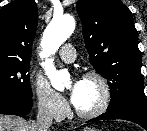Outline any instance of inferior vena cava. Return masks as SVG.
<instances>
[{"label":"inferior vena cava","mask_w":147,"mask_h":131,"mask_svg":"<svg viewBox=\"0 0 147 131\" xmlns=\"http://www.w3.org/2000/svg\"><path fill=\"white\" fill-rule=\"evenodd\" d=\"M54 115V106L50 103H40L38 105V114L36 126L38 127V131H48L52 126Z\"/></svg>","instance_id":"inferior-vena-cava-1"}]
</instances>
